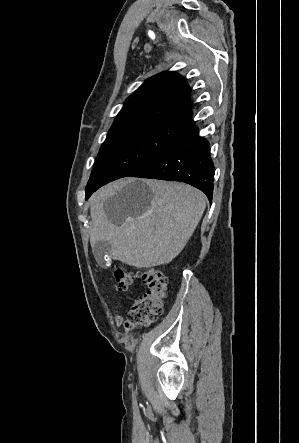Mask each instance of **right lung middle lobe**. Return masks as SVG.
Returning <instances> with one entry per match:
<instances>
[{"mask_svg": "<svg viewBox=\"0 0 299 443\" xmlns=\"http://www.w3.org/2000/svg\"><path fill=\"white\" fill-rule=\"evenodd\" d=\"M182 129L183 122L145 120L108 133L88 181L86 197L139 169L174 141Z\"/></svg>", "mask_w": 299, "mask_h": 443, "instance_id": "dd1d6c3e", "label": "right lung middle lobe"}]
</instances>
